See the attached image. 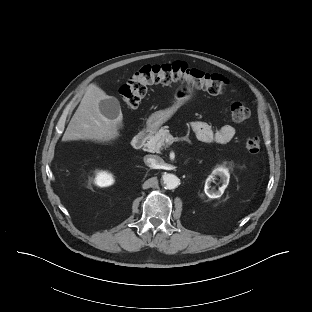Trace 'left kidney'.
Returning a JSON list of instances; mask_svg holds the SVG:
<instances>
[{
    "instance_id": "5707ae66",
    "label": "left kidney",
    "mask_w": 312,
    "mask_h": 312,
    "mask_svg": "<svg viewBox=\"0 0 312 312\" xmlns=\"http://www.w3.org/2000/svg\"><path fill=\"white\" fill-rule=\"evenodd\" d=\"M214 175H218L220 177V180L222 182V186L219 188L218 191H215L214 189L211 188V179L208 178L205 182V186H204V191L205 194L209 197V198H219L221 197V195L223 194L225 188L227 187L228 183H229V172L228 169L220 166L217 167L214 171H213Z\"/></svg>"
}]
</instances>
